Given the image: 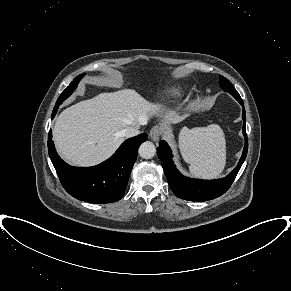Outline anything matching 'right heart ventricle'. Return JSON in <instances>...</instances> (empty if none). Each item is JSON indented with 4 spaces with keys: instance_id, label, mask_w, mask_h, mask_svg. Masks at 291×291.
Returning a JSON list of instances; mask_svg holds the SVG:
<instances>
[{
    "instance_id": "1",
    "label": "right heart ventricle",
    "mask_w": 291,
    "mask_h": 291,
    "mask_svg": "<svg viewBox=\"0 0 291 291\" xmlns=\"http://www.w3.org/2000/svg\"><path fill=\"white\" fill-rule=\"evenodd\" d=\"M182 94V90L180 88H173L169 90L168 95L170 97H178Z\"/></svg>"
}]
</instances>
